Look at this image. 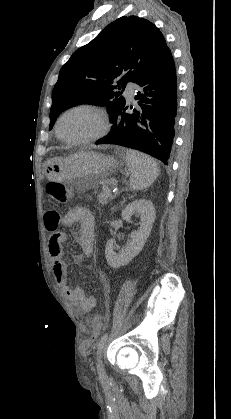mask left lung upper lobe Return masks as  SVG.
<instances>
[{
  "instance_id": "1",
  "label": "left lung upper lobe",
  "mask_w": 231,
  "mask_h": 419,
  "mask_svg": "<svg viewBox=\"0 0 231 419\" xmlns=\"http://www.w3.org/2000/svg\"><path fill=\"white\" fill-rule=\"evenodd\" d=\"M168 50L160 30L146 19L123 16L107 25L62 66L52 92L49 130L62 111L81 103L107 106L112 118L125 104L120 90Z\"/></svg>"
}]
</instances>
